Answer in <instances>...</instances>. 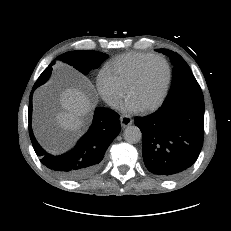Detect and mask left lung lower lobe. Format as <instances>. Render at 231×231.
I'll return each mask as SVG.
<instances>
[{
    "instance_id": "1",
    "label": "left lung lower lobe",
    "mask_w": 231,
    "mask_h": 231,
    "mask_svg": "<svg viewBox=\"0 0 231 231\" xmlns=\"http://www.w3.org/2000/svg\"><path fill=\"white\" fill-rule=\"evenodd\" d=\"M134 120L143 135V159L151 173L172 178L198 158L204 137L202 91L184 94L151 115Z\"/></svg>"
}]
</instances>
